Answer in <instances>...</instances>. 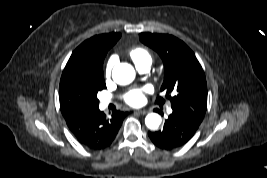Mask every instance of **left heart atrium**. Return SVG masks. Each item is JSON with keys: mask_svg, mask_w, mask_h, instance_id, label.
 Returning a JSON list of instances; mask_svg holds the SVG:
<instances>
[{"mask_svg": "<svg viewBox=\"0 0 267 178\" xmlns=\"http://www.w3.org/2000/svg\"><path fill=\"white\" fill-rule=\"evenodd\" d=\"M149 91L148 87L132 88L122 95V99L130 106H139L145 102V93Z\"/></svg>", "mask_w": 267, "mask_h": 178, "instance_id": "obj_1", "label": "left heart atrium"}]
</instances>
